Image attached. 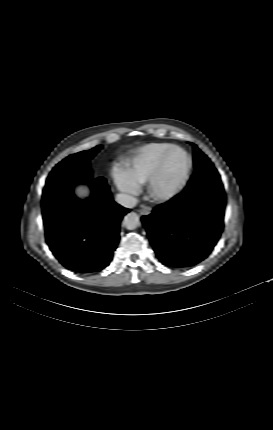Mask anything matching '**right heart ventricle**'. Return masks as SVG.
I'll return each instance as SVG.
<instances>
[{
    "mask_svg": "<svg viewBox=\"0 0 273 430\" xmlns=\"http://www.w3.org/2000/svg\"><path fill=\"white\" fill-rule=\"evenodd\" d=\"M173 144L154 142L143 145L126 160L124 170L128 177L137 185L146 183L154 171L161 155Z\"/></svg>",
    "mask_w": 273,
    "mask_h": 430,
    "instance_id": "obj_1",
    "label": "right heart ventricle"
}]
</instances>
